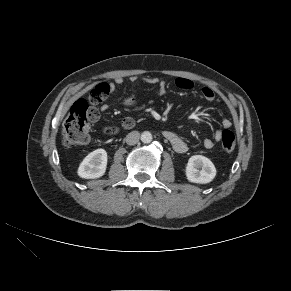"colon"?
Returning a JSON list of instances; mask_svg holds the SVG:
<instances>
[{"mask_svg": "<svg viewBox=\"0 0 291 291\" xmlns=\"http://www.w3.org/2000/svg\"><path fill=\"white\" fill-rule=\"evenodd\" d=\"M107 90L103 86L95 87L90 94L89 102L85 99L77 100L70 108L69 114L63 124V143L65 146L85 144L89 140L90 123L93 121V106L100 103ZM134 121L131 118L122 120L123 128H131ZM106 132L113 134L116 128H107ZM221 145L226 152H232L236 146L235 135L225 129L221 133Z\"/></svg>", "mask_w": 291, "mask_h": 291, "instance_id": "obj_1", "label": "colon"}]
</instances>
